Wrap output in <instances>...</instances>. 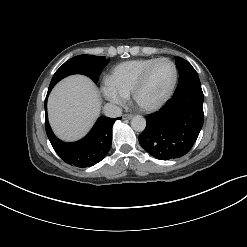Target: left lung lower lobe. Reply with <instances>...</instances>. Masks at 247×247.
<instances>
[{
  "label": "left lung lower lobe",
  "mask_w": 247,
  "mask_h": 247,
  "mask_svg": "<svg viewBox=\"0 0 247 247\" xmlns=\"http://www.w3.org/2000/svg\"><path fill=\"white\" fill-rule=\"evenodd\" d=\"M201 86L176 89L159 111L146 116V128L139 136L143 149L159 160L188 153L203 126Z\"/></svg>",
  "instance_id": "1"
}]
</instances>
